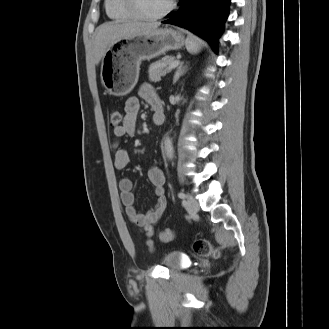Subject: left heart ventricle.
I'll use <instances>...</instances> for the list:
<instances>
[{
  "mask_svg": "<svg viewBox=\"0 0 329 329\" xmlns=\"http://www.w3.org/2000/svg\"><path fill=\"white\" fill-rule=\"evenodd\" d=\"M142 13L146 15H156L162 12L169 4L170 0H137Z\"/></svg>",
  "mask_w": 329,
  "mask_h": 329,
  "instance_id": "obj_1",
  "label": "left heart ventricle"
}]
</instances>
